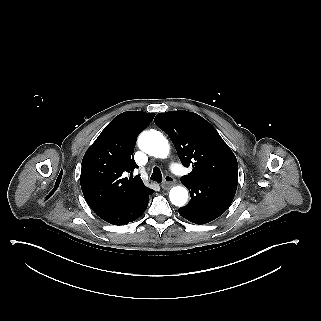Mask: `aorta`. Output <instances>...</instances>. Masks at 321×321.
I'll return each mask as SVG.
<instances>
[{
  "instance_id": "762f6f07",
  "label": "aorta",
  "mask_w": 321,
  "mask_h": 321,
  "mask_svg": "<svg viewBox=\"0 0 321 321\" xmlns=\"http://www.w3.org/2000/svg\"><path fill=\"white\" fill-rule=\"evenodd\" d=\"M140 149L156 158H167L170 150L168 140L157 130L145 131L138 139ZM170 201L175 206H183L188 199V191L183 186H176L170 190Z\"/></svg>"
}]
</instances>
